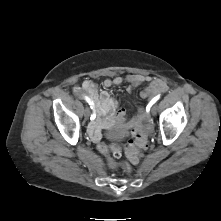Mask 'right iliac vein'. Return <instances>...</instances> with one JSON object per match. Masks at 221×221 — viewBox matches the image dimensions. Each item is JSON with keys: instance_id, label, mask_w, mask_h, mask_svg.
Masks as SVG:
<instances>
[{"instance_id": "1", "label": "right iliac vein", "mask_w": 221, "mask_h": 221, "mask_svg": "<svg viewBox=\"0 0 221 221\" xmlns=\"http://www.w3.org/2000/svg\"><path fill=\"white\" fill-rule=\"evenodd\" d=\"M89 114H90V110H89V108H86V109L84 110V116H85V118H88V117H89Z\"/></svg>"}]
</instances>
